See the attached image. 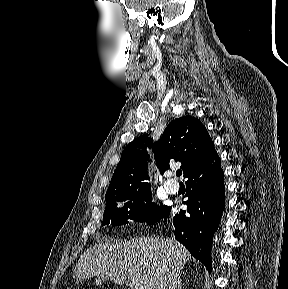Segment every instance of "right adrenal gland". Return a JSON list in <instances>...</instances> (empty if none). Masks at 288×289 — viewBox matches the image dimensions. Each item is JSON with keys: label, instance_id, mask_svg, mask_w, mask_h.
Instances as JSON below:
<instances>
[{"label": "right adrenal gland", "instance_id": "2a0ac1e0", "mask_svg": "<svg viewBox=\"0 0 288 289\" xmlns=\"http://www.w3.org/2000/svg\"><path fill=\"white\" fill-rule=\"evenodd\" d=\"M178 289H181V283H180V285L178 286Z\"/></svg>", "mask_w": 288, "mask_h": 289}]
</instances>
